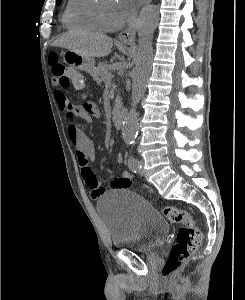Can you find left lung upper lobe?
<instances>
[{"label": "left lung upper lobe", "instance_id": "left-lung-upper-lobe-1", "mask_svg": "<svg viewBox=\"0 0 245 300\" xmlns=\"http://www.w3.org/2000/svg\"><path fill=\"white\" fill-rule=\"evenodd\" d=\"M61 3V0H57V5H59Z\"/></svg>", "mask_w": 245, "mask_h": 300}]
</instances>
